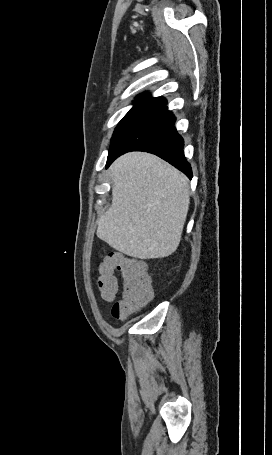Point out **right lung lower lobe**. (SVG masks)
I'll list each match as a JSON object with an SVG mask.
<instances>
[{"label": "right lung lower lobe", "instance_id": "1", "mask_svg": "<svg viewBox=\"0 0 272 455\" xmlns=\"http://www.w3.org/2000/svg\"><path fill=\"white\" fill-rule=\"evenodd\" d=\"M175 121V116L165 106L128 132L109 151L106 167L128 151H146L166 160L191 179L192 170L184 157V142L174 127Z\"/></svg>", "mask_w": 272, "mask_h": 455}]
</instances>
